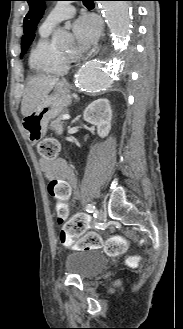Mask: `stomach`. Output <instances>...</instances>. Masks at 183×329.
I'll use <instances>...</instances> for the list:
<instances>
[{"instance_id": "stomach-1", "label": "stomach", "mask_w": 183, "mask_h": 329, "mask_svg": "<svg viewBox=\"0 0 183 329\" xmlns=\"http://www.w3.org/2000/svg\"><path fill=\"white\" fill-rule=\"evenodd\" d=\"M72 96L68 84L58 82L53 94L46 96L35 109L23 119V128L28 140L35 144L47 132L48 123L63 113L71 104Z\"/></svg>"}]
</instances>
